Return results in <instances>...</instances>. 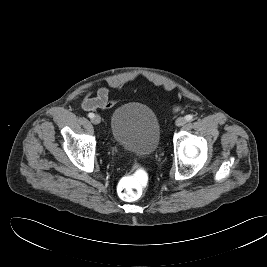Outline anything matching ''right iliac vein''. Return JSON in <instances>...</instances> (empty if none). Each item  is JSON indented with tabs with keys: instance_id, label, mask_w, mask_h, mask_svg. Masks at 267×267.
Returning <instances> with one entry per match:
<instances>
[{
	"instance_id": "63e3f726",
	"label": "right iliac vein",
	"mask_w": 267,
	"mask_h": 267,
	"mask_svg": "<svg viewBox=\"0 0 267 267\" xmlns=\"http://www.w3.org/2000/svg\"><path fill=\"white\" fill-rule=\"evenodd\" d=\"M91 121L93 124L98 125L101 122V118L99 115H95Z\"/></svg>"
}]
</instances>
